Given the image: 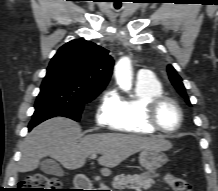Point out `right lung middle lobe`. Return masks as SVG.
<instances>
[{"label":"right lung middle lobe","mask_w":218,"mask_h":191,"mask_svg":"<svg viewBox=\"0 0 218 191\" xmlns=\"http://www.w3.org/2000/svg\"><path fill=\"white\" fill-rule=\"evenodd\" d=\"M101 91L86 87L61 71L48 69L30 124L35 126L55 116L79 121L84 105L94 100Z\"/></svg>","instance_id":"obj_1"}]
</instances>
